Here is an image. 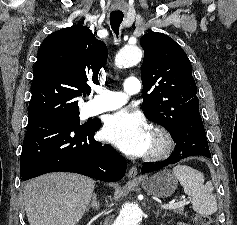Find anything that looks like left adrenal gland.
Segmentation results:
<instances>
[{
	"instance_id": "a2214340",
	"label": "left adrenal gland",
	"mask_w": 237,
	"mask_h": 225,
	"mask_svg": "<svg viewBox=\"0 0 237 225\" xmlns=\"http://www.w3.org/2000/svg\"><path fill=\"white\" fill-rule=\"evenodd\" d=\"M154 212H155V211H154ZM159 213H160L159 211L155 212V214H156L157 216L159 215Z\"/></svg>"
}]
</instances>
